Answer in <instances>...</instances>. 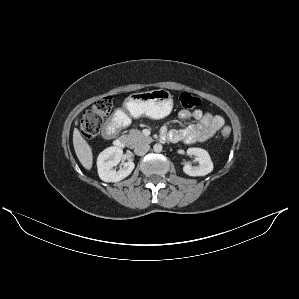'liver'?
Returning <instances> with one entry per match:
<instances>
[{"mask_svg":"<svg viewBox=\"0 0 299 299\" xmlns=\"http://www.w3.org/2000/svg\"><path fill=\"white\" fill-rule=\"evenodd\" d=\"M75 125H78V121L75 122ZM73 146L82 166L85 169L90 170L93 164L92 149L77 128L73 131Z\"/></svg>","mask_w":299,"mask_h":299,"instance_id":"obj_1","label":"liver"}]
</instances>
